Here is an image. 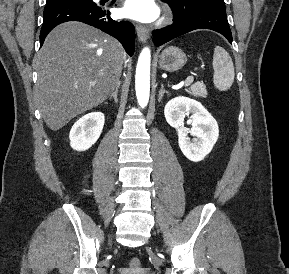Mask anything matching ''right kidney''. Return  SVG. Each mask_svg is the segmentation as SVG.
I'll use <instances>...</instances> for the list:
<instances>
[{
    "label": "right kidney",
    "instance_id": "1",
    "mask_svg": "<svg viewBox=\"0 0 289 274\" xmlns=\"http://www.w3.org/2000/svg\"><path fill=\"white\" fill-rule=\"evenodd\" d=\"M104 121L102 112H91L82 116L71 128L70 146L76 151L88 150L100 137Z\"/></svg>",
    "mask_w": 289,
    "mask_h": 274
}]
</instances>
